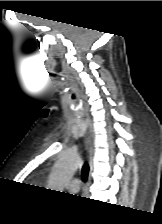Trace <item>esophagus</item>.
Segmentation results:
<instances>
[{
  "label": "esophagus",
  "instance_id": "obj_1",
  "mask_svg": "<svg viewBox=\"0 0 162 224\" xmlns=\"http://www.w3.org/2000/svg\"><path fill=\"white\" fill-rule=\"evenodd\" d=\"M94 130L92 125L90 124L89 127V156H90V172L93 170V162H94V152H95V146H94ZM90 180V178H89ZM89 183V182H88Z\"/></svg>",
  "mask_w": 162,
  "mask_h": 224
}]
</instances>
